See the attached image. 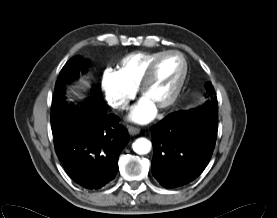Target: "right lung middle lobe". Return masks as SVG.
<instances>
[{
    "label": "right lung middle lobe",
    "mask_w": 277,
    "mask_h": 218,
    "mask_svg": "<svg viewBox=\"0 0 277 218\" xmlns=\"http://www.w3.org/2000/svg\"><path fill=\"white\" fill-rule=\"evenodd\" d=\"M88 66L89 63L87 60L79 57H73L60 71L58 80L63 79L66 82L72 81L80 71L85 72ZM94 98L97 101L92 105L91 109L94 116L105 113L106 108L104 103L101 101L97 93ZM80 114L81 108L69 106L65 101L52 100L51 126L53 136L56 138L70 128L80 125L81 122L77 120Z\"/></svg>",
    "instance_id": "1"
}]
</instances>
